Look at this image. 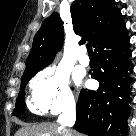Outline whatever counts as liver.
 <instances>
[{
    "label": "liver",
    "mask_w": 136,
    "mask_h": 136,
    "mask_svg": "<svg viewBox=\"0 0 136 136\" xmlns=\"http://www.w3.org/2000/svg\"><path fill=\"white\" fill-rule=\"evenodd\" d=\"M69 134L62 131L55 123H42L38 125L25 126L18 130L15 136H61Z\"/></svg>",
    "instance_id": "obj_1"
}]
</instances>
